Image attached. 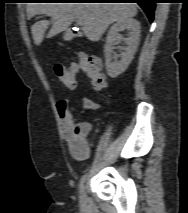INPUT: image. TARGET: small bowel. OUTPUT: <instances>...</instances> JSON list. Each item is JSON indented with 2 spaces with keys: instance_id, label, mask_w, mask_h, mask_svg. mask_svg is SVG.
<instances>
[{
  "instance_id": "c3829d8e",
  "label": "small bowel",
  "mask_w": 188,
  "mask_h": 213,
  "mask_svg": "<svg viewBox=\"0 0 188 213\" xmlns=\"http://www.w3.org/2000/svg\"><path fill=\"white\" fill-rule=\"evenodd\" d=\"M82 106L85 111H95L100 105L92 99L83 98ZM57 110L71 155L78 161L89 159L92 147V143L88 139L91 130L90 123L87 121L75 122L73 113L76 111V107L65 100L58 102Z\"/></svg>"
}]
</instances>
